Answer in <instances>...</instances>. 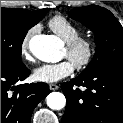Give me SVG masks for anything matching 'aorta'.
Instances as JSON below:
<instances>
[{
	"label": "aorta",
	"mask_w": 123,
	"mask_h": 123,
	"mask_svg": "<svg viewBox=\"0 0 123 123\" xmlns=\"http://www.w3.org/2000/svg\"><path fill=\"white\" fill-rule=\"evenodd\" d=\"M30 51L35 57L44 62L57 60L60 44L57 38L50 35H35L29 41ZM46 102L49 108L60 110L66 105V98L60 92H52Z\"/></svg>",
	"instance_id": "aorta-1"
}]
</instances>
